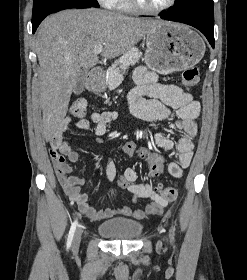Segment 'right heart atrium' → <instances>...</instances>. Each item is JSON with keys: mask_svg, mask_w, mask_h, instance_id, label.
<instances>
[{"mask_svg": "<svg viewBox=\"0 0 247 280\" xmlns=\"http://www.w3.org/2000/svg\"><path fill=\"white\" fill-rule=\"evenodd\" d=\"M98 2L105 7H113L117 0H98Z\"/></svg>", "mask_w": 247, "mask_h": 280, "instance_id": "d8ad5b80", "label": "right heart atrium"}]
</instances>
